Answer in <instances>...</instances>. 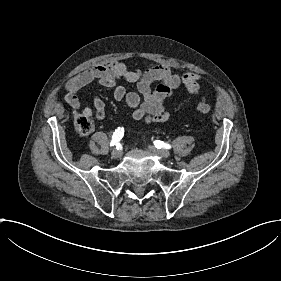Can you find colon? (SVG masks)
<instances>
[{
    "label": "colon",
    "instance_id": "1",
    "mask_svg": "<svg viewBox=\"0 0 281 281\" xmlns=\"http://www.w3.org/2000/svg\"><path fill=\"white\" fill-rule=\"evenodd\" d=\"M195 110L199 114L207 115L212 111V103L208 100H199L195 104ZM77 129L81 133H89L92 130V122L87 117H81L77 121Z\"/></svg>",
    "mask_w": 281,
    "mask_h": 281
}]
</instances>
